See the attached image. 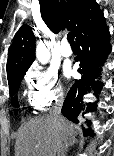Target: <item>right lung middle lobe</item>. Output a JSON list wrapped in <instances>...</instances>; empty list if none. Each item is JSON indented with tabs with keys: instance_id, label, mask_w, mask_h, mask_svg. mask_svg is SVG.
Masks as SVG:
<instances>
[{
	"instance_id": "obj_1",
	"label": "right lung middle lobe",
	"mask_w": 114,
	"mask_h": 156,
	"mask_svg": "<svg viewBox=\"0 0 114 156\" xmlns=\"http://www.w3.org/2000/svg\"><path fill=\"white\" fill-rule=\"evenodd\" d=\"M24 75H25V73L17 75V76L13 77L12 79H10L8 81L10 96H14L17 93V91H18V89L20 87L21 80L23 79ZM12 105L14 107H19V103H18V98L17 97H14L12 99Z\"/></svg>"
}]
</instances>
